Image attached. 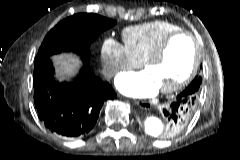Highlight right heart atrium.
I'll return each mask as SVG.
<instances>
[{
  "label": "right heart atrium",
  "mask_w": 240,
  "mask_h": 160,
  "mask_svg": "<svg viewBox=\"0 0 240 160\" xmlns=\"http://www.w3.org/2000/svg\"><path fill=\"white\" fill-rule=\"evenodd\" d=\"M100 57L102 72L106 78H112L121 71L137 65L125 46L111 38L102 43Z\"/></svg>",
  "instance_id": "d8ad5b80"
}]
</instances>
